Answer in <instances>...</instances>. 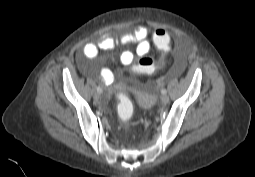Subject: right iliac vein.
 <instances>
[{
    "label": "right iliac vein",
    "instance_id": "1",
    "mask_svg": "<svg viewBox=\"0 0 255 177\" xmlns=\"http://www.w3.org/2000/svg\"><path fill=\"white\" fill-rule=\"evenodd\" d=\"M93 98H94L95 101H98L100 99V94L98 92L95 93Z\"/></svg>",
    "mask_w": 255,
    "mask_h": 177
}]
</instances>
